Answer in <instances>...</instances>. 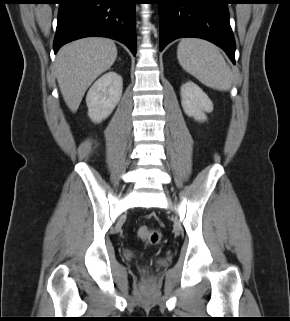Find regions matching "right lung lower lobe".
I'll return each mask as SVG.
<instances>
[{"label":"right lung lower lobe","instance_id":"1","mask_svg":"<svg viewBox=\"0 0 290 321\" xmlns=\"http://www.w3.org/2000/svg\"><path fill=\"white\" fill-rule=\"evenodd\" d=\"M136 0H60L54 52L73 40L102 36L118 40L136 54Z\"/></svg>","mask_w":290,"mask_h":321}]
</instances>
